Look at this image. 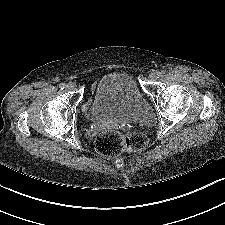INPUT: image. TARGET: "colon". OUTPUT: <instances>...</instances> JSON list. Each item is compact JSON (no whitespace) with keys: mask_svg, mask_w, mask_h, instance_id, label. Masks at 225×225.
Wrapping results in <instances>:
<instances>
[{"mask_svg":"<svg viewBox=\"0 0 225 225\" xmlns=\"http://www.w3.org/2000/svg\"><path fill=\"white\" fill-rule=\"evenodd\" d=\"M148 138L142 132L124 134L116 131L100 133L95 139V148L104 156H116L125 151H141L147 148Z\"/></svg>","mask_w":225,"mask_h":225,"instance_id":"obj_1","label":"colon"}]
</instances>
